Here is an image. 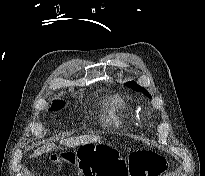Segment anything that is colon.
I'll return each instance as SVG.
<instances>
[{
	"instance_id": "colon-1",
	"label": "colon",
	"mask_w": 205,
	"mask_h": 176,
	"mask_svg": "<svg viewBox=\"0 0 205 176\" xmlns=\"http://www.w3.org/2000/svg\"><path fill=\"white\" fill-rule=\"evenodd\" d=\"M51 161L56 171H61L64 164H78L80 176H160L165 170L164 159L147 149L132 152L126 163L102 147L78 154L71 151L53 154Z\"/></svg>"
}]
</instances>
